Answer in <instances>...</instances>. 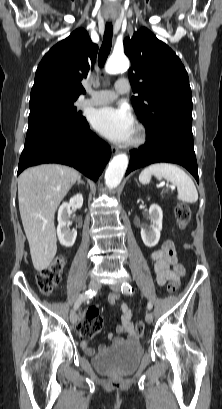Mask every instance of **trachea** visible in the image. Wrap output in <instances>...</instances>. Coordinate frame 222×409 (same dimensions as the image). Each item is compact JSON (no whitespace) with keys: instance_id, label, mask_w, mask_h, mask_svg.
Masks as SVG:
<instances>
[{"instance_id":"trachea-1","label":"trachea","mask_w":222,"mask_h":409,"mask_svg":"<svg viewBox=\"0 0 222 409\" xmlns=\"http://www.w3.org/2000/svg\"><path fill=\"white\" fill-rule=\"evenodd\" d=\"M112 35H113L112 23H106L103 42L98 57L99 66L101 68L104 66L106 59L111 51Z\"/></svg>"}]
</instances>
